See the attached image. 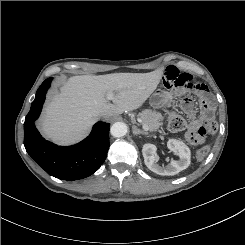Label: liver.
<instances>
[{
    "mask_svg": "<svg viewBox=\"0 0 245 245\" xmlns=\"http://www.w3.org/2000/svg\"><path fill=\"white\" fill-rule=\"evenodd\" d=\"M163 72L160 68L149 73L70 77L47 104L41 130L58 144L75 143L87 135L101 114L109 119L141 107L157 88ZM109 94H113V103Z\"/></svg>",
    "mask_w": 245,
    "mask_h": 245,
    "instance_id": "1",
    "label": "liver"
}]
</instances>
